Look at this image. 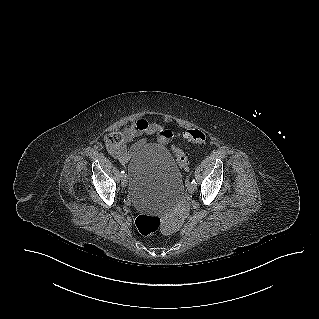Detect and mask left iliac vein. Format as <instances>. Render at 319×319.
<instances>
[{
    "label": "left iliac vein",
    "instance_id": "1",
    "mask_svg": "<svg viewBox=\"0 0 319 319\" xmlns=\"http://www.w3.org/2000/svg\"><path fill=\"white\" fill-rule=\"evenodd\" d=\"M187 189H188V192H189L190 194H193L194 191H195V189H196V186L193 185V184H189V185L187 186Z\"/></svg>",
    "mask_w": 319,
    "mask_h": 319
}]
</instances>
